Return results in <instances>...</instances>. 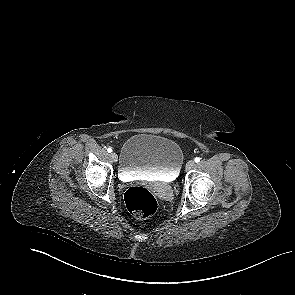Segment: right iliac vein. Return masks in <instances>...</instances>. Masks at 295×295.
Returning <instances> with one entry per match:
<instances>
[{
  "mask_svg": "<svg viewBox=\"0 0 295 295\" xmlns=\"http://www.w3.org/2000/svg\"><path fill=\"white\" fill-rule=\"evenodd\" d=\"M111 159L114 161V162H117V160H118V156H117V154L116 153H111Z\"/></svg>",
  "mask_w": 295,
  "mask_h": 295,
  "instance_id": "1",
  "label": "right iliac vein"
}]
</instances>
